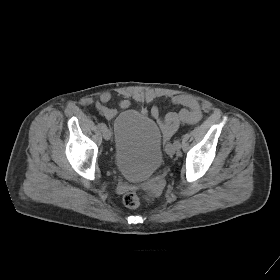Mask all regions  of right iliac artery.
Segmentation results:
<instances>
[{"instance_id":"1","label":"right iliac artery","mask_w":280,"mask_h":280,"mask_svg":"<svg viewBox=\"0 0 280 280\" xmlns=\"http://www.w3.org/2000/svg\"><path fill=\"white\" fill-rule=\"evenodd\" d=\"M97 126H98V128L101 129V130H103V129L106 128V125H105L104 123H98Z\"/></svg>"}]
</instances>
